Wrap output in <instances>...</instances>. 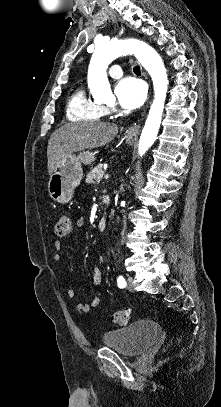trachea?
<instances>
[{
  "label": "trachea",
  "mask_w": 221,
  "mask_h": 407,
  "mask_svg": "<svg viewBox=\"0 0 221 407\" xmlns=\"http://www.w3.org/2000/svg\"><path fill=\"white\" fill-rule=\"evenodd\" d=\"M133 70H134V73H136V74H139V73H140V67H139V66H135V67L133 68Z\"/></svg>",
  "instance_id": "1"
}]
</instances>
